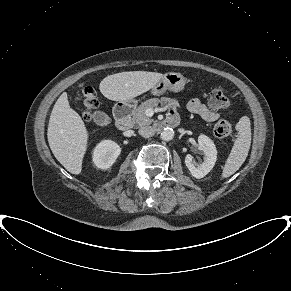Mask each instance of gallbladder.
<instances>
[{
  "label": "gallbladder",
  "instance_id": "bac80fb5",
  "mask_svg": "<svg viewBox=\"0 0 291 291\" xmlns=\"http://www.w3.org/2000/svg\"><path fill=\"white\" fill-rule=\"evenodd\" d=\"M75 100H79V99L76 98ZM90 115H91V118L93 119V121L97 125H105V124L109 123V121H110V118L108 117V115L105 112L100 111V110H95Z\"/></svg>",
  "mask_w": 291,
  "mask_h": 291
}]
</instances>
